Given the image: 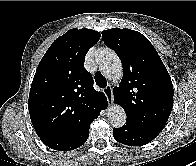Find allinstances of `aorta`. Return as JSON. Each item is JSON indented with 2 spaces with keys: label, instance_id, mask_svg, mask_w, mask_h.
<instances>
[{
  "label": "aorta",
  "instance_id": "762f6f07",
  "mask_svg": "<svg viewBox=\"0 0 196 166\" xmlns=\"http://www.w3.org/2000/svg\"><path fill=\"white\" fill-rule=\"evenodd\" d=\"M96 62L104 75L114 82L122 78V63L116 53L109 49H102L96 55ZM107 119L116 128L126 123V113L118 104H111L107 109Z\"/></svg>",
  "mask_w": 196,
  "mask_h": 166
}]
</instances>
